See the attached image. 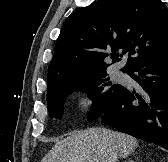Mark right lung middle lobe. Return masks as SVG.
Wrapping results in <instances>:
<instances>
[{"instance_id": "dd1d6c3e", "label": "right lung middle lobe", "mask_w": 168, "mask_h": 162, "mask_svg": "<svg viewBox=\"0 0 168 162\" xmlns=\"http://www.w3.org/2000/svg\"><path fill=\"white\" fill-rule=\"evenodd\" d=\"M124 87L106 78V72H94L85 76L63 80L47 88V105L51 118L61 119L64 103L69 94L83 91L93 100L89 120L100 117L117 98Z\"/></svg>"}]
</instances>
